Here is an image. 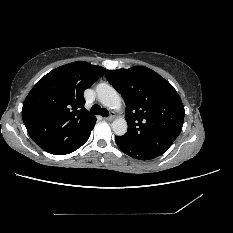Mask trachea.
Wrapping results in <instances>:
<instances>
[{
    "instance_id": "trachea-1",
    "label": "trachea",
    "mask_w": 233,
    "mask_h": 233,
    "mask_svg": "<svg viewBox=\"0 0 233 233\" xmlns=\"http://www.w3.org/2000/svg\"><path fill=\"white\" fill-rule=\"evenodd\" d=\"M91 112L93 115H101L103 117H108L109 116V112L107 109L105 108H100L99 105H93L92 108H91Z\"/></svg>"
}]
</instances>
